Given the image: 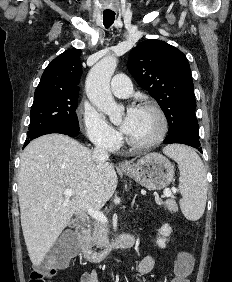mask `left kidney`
<instances>
[{"instance_id": "left-kidney-1", "label": "left kidney", "mask_w": 232, "mask_h": 282, "mask_svg": "<svg viewBox=\"0 0 232 282\" xmlns=\"http://www.w3.org/2000/svg\"><path fill=\"white\" fill-rule=\"evenodd\" d=\"M172 232L171 227L168 224L163 225L159 230V237L157 238L156 243L160 248L166 247L167 236H169ZM162 236V237H161Z\"/></svg>"}]
</instances>
